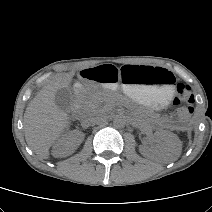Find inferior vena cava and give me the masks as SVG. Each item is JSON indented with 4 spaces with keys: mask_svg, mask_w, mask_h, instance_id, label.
Wrapping results in <instances>:
<instances>
[{
    "mask_svg": "<svg viewBox=\"0 0 212 212\" xmlns=\"http://www.w3.org/2000/svg\"><path fill=\"white\" fill-rule=\"evenodd\" d=\"M102 116L95 111L88 112L83 117V124L85 126L95 125L101 122Z\"/></svg>",
    "mask_w": 212,
    "mask_h": 212,
    "instance_id": "obj_1",
    "label": "inferior vena cava"
}]
</instances>
